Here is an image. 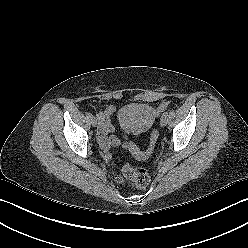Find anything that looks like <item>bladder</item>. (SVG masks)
<instances>
[{
  "label": "bladder",
  "instance_id": "1",
  "mask_svg": "<svg viewBox=\"0 0 248 248\" xmlns=\"http://www.w3.org/2000/svg\"><path fill=\"white\" fill-rule=\"evenodd\" d=\"M155 119V110L146 103L127 105L120 112V121L136 134L149 130L153 126Z\"/></svg>",
  "mask_w": 248,
  "mask_h": 248
}]
</instances>
